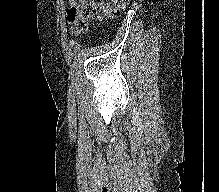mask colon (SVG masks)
Wrapping results in <instances>:
<instances>
[{
	"label": "colon",
	"instance_id": "1",
	"mask_svg": "<svg viewBox=\"0 0 219 192\" xmlns=\"http://www.w3.org/2000/svg\"><path fill=\"white\" fill-rule=\"evenodd\" d=\"M130 2V0H72L67 13V22L74 35L86 32L93 19L111 18Z\"/></svg>",
	"mask_w": 219,
	"mask_h": 192
}]
</instances>
